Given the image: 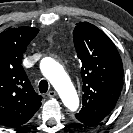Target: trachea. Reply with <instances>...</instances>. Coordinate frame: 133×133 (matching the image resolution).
Instances as JSON below:
<instances>
[{
  "instance_id": "trachea-1",
  "label": "trachea",
  "mask_w": 133,
  "mask_h": 133,
  "mask_svg": "<svg viewBox=\"0 0 133 133\" xmlns=\"http://www.w3.org/2000/svg\"><path fill=\"white\" fill-rule=\"evenodd\" d=\"M48 82L46 80H41L39 83V91L40 93H46L48 91Z\"/></svg>"
}]
</instances>
